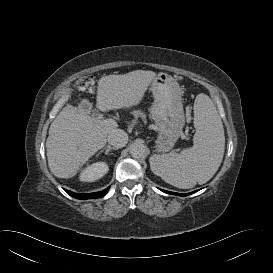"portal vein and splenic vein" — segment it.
<instances>
[{"label":"portal vein and splenic vein","mask_w":273,"mask_h":273,"mask_svg":"<svg viewBox=\"0 0 273 273\" xmlns=\"http://www.w3.org/2000/svg\"><path fill=\"white\" fill-rule=\"evenodd\" d=\"M93 119H98V120H102L103 117L101 115H98L97 117H93Z\"/></svg>","instance_id":"1"}]
</instances>
